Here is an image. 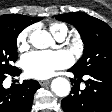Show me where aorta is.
Returning <instances> with one entry per match:
<instances>
[{
    "mask_svg": "<svg viewBox=\"0 0 112 112\" xmlns=\"http://www.w3.org/2000/svg\"><path fill=\"white\" fill-rule=\"evenodd\" d=\"M30 43L37 49H46L53 43L51 35L44 30H35L30 36ZM52 91L59 97H66L71 90L70 82L63 77L53 79L51 83Z\"/></svg>",
    "mask_w": 112,
    "mask_h": 112,
    "instance_id": "obj_1",
    "label": "aorta"
}]
</instances>
